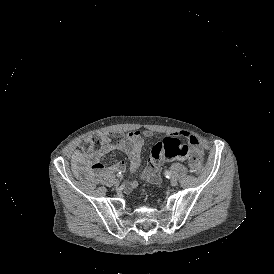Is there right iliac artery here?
Here are the masks:
<instances>
[{
  "label": "right iliac artery",
  "instance_id": "1",
  "mask_svg": "<svg viewBox=\"0 0 274 274\" xmlns=\"http://www.w3.org/2000/svg\"><path fill=\"white\" fill-rule=\"evenodd\" d=\"M117 177H122V173L121 172H119V173H117Z\"/></svg>",
  "mask_w": 274,
  "mask_h": 274
}]
</instances>
